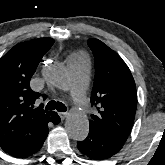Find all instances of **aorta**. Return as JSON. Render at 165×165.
Masks as SVG:
<instances>
[{
	"mask_svg": "<svg viewBox=\"0 0 165 165\" xmlns=\"http://www.w3.org/2000/svg\"><path fill=\"white\" fill-rule=\"evenodd\" d=\"M44 79L57 87H61L65 81V68L58 63H50L43 69ZM65 128L68 135L76 140H84L89 133V121L85 114L74 111L66 119Z\"/></svg>",
	"mask_w": 165,
	"mask_h": 165,
	"instance_id": "762f6f07",
	"label": "aorta"
}]
</instances>
